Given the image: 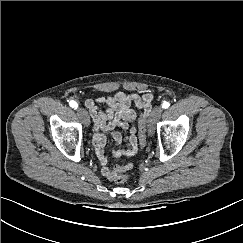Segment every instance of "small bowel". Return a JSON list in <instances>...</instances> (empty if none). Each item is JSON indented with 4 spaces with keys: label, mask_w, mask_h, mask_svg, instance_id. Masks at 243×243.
I'll use <instances>...</instances> for the list:
<instances>
[{
    "label": "small bowel",
    "mask_w": 243,
    "mask_h": 243,
    "mask_svg": "<svg viewBox=\"0 0 243 243\" xmlns=\"http://www.w3.org/2000/svg\"><path fill=\"white\" fill-rule=\"evenodd\" d=\"M152 93H126L118 92L113 96H102L95 99H87L85 105L94 123L93 146L97 158L101 164V173L110 181H114L119 173V167L111 169L107 166L105 144L110 135L118 144L126 143L121 149L114 150L115 157H130L134 155L139 146L138 129L135 126L137 113L131 108L134 105L139 110V116L146 118L151 110ZM103 107V110L100 109ZM120 127L124 133L115 131Z\"/></svg>",
    "instance_id": "1"
}]
</instances>
